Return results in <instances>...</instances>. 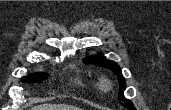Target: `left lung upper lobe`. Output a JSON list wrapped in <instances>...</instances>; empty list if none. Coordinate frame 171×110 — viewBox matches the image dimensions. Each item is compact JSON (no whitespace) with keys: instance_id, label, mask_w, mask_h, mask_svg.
I'll use <instances>...</instances> for the list:
<instances>
[{"instance_id":"left-lung-upper-lobe-1","label":"left lung upper lobe","mask_w":171,"mask_h":110,"mask_svg":"<svg viewBox=\"0 0 171 110\" xmlns=\"http://www.w3.org/2000/svg\"><path fill=\"white\" fill-rule=\"evenodd\" d=\"M84 62L96 64L98 66H102L113 71L118 76V81L120 85L118 99L123 101L121 102V105L130 110H135L133 103L124 97L123 93L126 88V82L121 74L120 67L115 62L107 60L105 57L100 56V54H98L97 56H90L88 58H85Z\"/></svg>"}]
</instances>
